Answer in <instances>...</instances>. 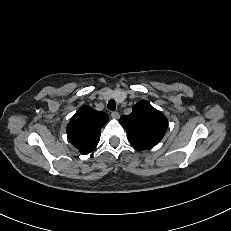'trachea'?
<instances>
[{
  "label": "trachea",
  "instance_id": "trachea-1",
  "mask_svg": "<svg viewBox=\"0 0 231 231\" xmlns=\"http://www.w3.org/2000/svg\"><path fill=\"white\" fill-rule=\"evenodd\" d=\"M108 109L111 110V111H114V110L116 109V103H115L114 100L111 99V100L108 102Z\"/></svg>",
  "mask_w": 231,
  "mask_h": 231
}]
</instances>
